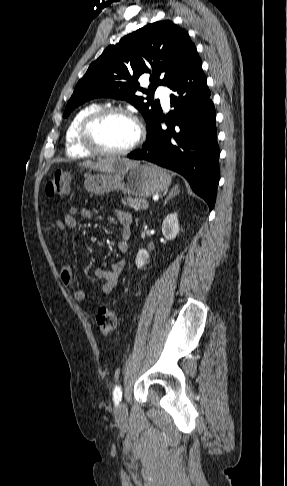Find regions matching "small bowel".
<instances>
[{"label":"small bowel","mask_w":287,"mask_h":486,"mask_svg":"<svg viewBox=\"0 0 287 486\" xmlns=\"http://www.w3.org/2000/svg\"><path fill=\"white\" fill-rule=\"evenodd\" d=\"M118 222L120 224V239L117 243V251L120 254H125L128 251V241L131 236V215L124 210H116L115 212ZM79 215L84 219H91L94 213L89 209H78L71 207L67 213L55 222L56 227L60 230L63 242H67L69 230L76 228V216ZM64 265L61 268L60 278L62 283L72 288L73 297L77 301L95 300L96 295H88L84 290L76 287L72 267L70 265L71 252L65 247L63 250ZM125 267V260L119 259L111 264L110 268H97L94 271V277L102 280L101 295L109 294L116 286L118 279Z\"/></svg>","instance_id":"c3829d8e"}]
</instances>
